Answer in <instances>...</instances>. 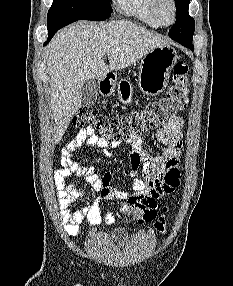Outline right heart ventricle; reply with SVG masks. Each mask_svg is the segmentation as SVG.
<instances>
[{"label":"right heart ventricle","instance_id":"right-heart-ventricle-1","mask_svg":"<svg viewBox=\"0 0 233 286\" xmlns=\"http://www.w3.org/2000/svg\"><path fill=\"white\" fill-rule=\"evenodd\" d=\"M114 4L123 15L135 18L153 28L160 26L152 14L151 0H114Z\"/></svg>","mask_w":233,"mask_h":286}]
</instances>
